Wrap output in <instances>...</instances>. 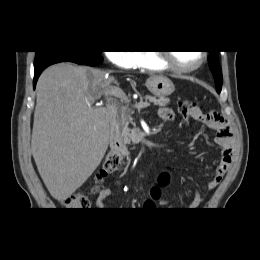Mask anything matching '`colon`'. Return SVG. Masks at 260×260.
Wrapping results in <instances>:
<instances>
[{
    "instance_id": "colon-1",
    "label": "colon",
    "mask_w": 260,
    "mask_h": 260,
    "mask_svg": "<svg viewBox=\"0 0 260 260\" xmlns=\"http://www.w3.org/2000/svg\"><path fill=\"white\" fill-rule=\"evenodd\" d=\"M179 112L185 120L198 116L201 111L196 102L190 100H183L179 103ZM123 168L122 158L113 152H109L106 156L103 168L97 175L99 182L104 181L109 174L119 172ZM159 184L161 186L167 185L169 182V175L162 173L159 176ZM153 199H157L160 195L158 187H154L151 191ZM63 204L67 209L70 210H85L90 206V201L87 195L77 194L66 197L63 200Z\"/></svg>"
}]
</instances>
